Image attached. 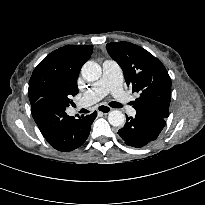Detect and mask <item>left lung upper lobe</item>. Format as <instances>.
I'll use <instances>...</instances> for the list:
<instances>
[{"instance_id": "1", "label": "left lung upper lobe", "mask_w": 205, "mask_h": 205, "mask_svg": "<svg viewBox=\"0 0 205 205\" xmlns=\"http://www.w3.org/2000/svg\"><path fill=\"white\" fill-rule=\"evenodd\" d=\"M106 48L122 68L127 85L140 94L132 102L135 110L167 118L171 78L164 65L142 47L129 42L108 43Z\"/></svg>"}]
</instances>
